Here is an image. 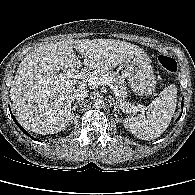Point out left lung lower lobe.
Segmentation results:
<instances>
[{"label": "left lung lower lobe", "mask_w": 195, "mask_h": 195, "mask_svg": "<svg viewBox=\"0 0 195 195\" xmlns=\"http://www.w3.org/2000/svg\"><path fill=\"white\" fill-rule=\"evenodd\" d=\"M181 106H182V108H183V102H182V105H181ZM180 117H181V115L178 117V119H177V120H179V118H180Z\"/></svg>", "instance_id": "obj_1"}]
</instances>
